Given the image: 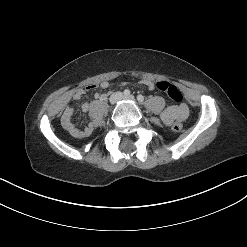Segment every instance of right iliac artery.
Returning <instances> with one entry per match:
<instances>
[{
    "label": "right iliac artery",
    "instance_id": "1",
    "mask_svg": "<svg viewBox=\"0 0 247 247\" xmlns=\"http://www.w3.org/2000/svg\"><path fill=\"white\" fill-rule=\"evenodd\" d=\"M123 93H124L125 96H129L130 95V91L128 89H125Z\"/></svg>",
    "mask_w": 247,
    "mask_h": 247
}]
</instances>
